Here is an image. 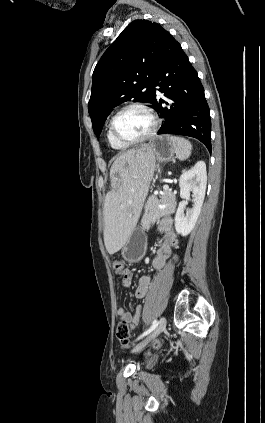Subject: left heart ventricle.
<instances>
[{
    "instance_id": "obj_1",
    "label": "left heart ventricle",
    "mask_w": 265,
    "mask_h": 423,
    "mask_svg": "<svg viewBox=\"0 0 265 423\" xmlns=\"http://www.w3.org/2000/svg\"><path fill=\"white\" fill-rule=\"evenodd\" d=\"M152 126L150 117L139 109H128L116 120L117 133L126 139H137L144 136Z\"/></svg>"
}]
</instances>
